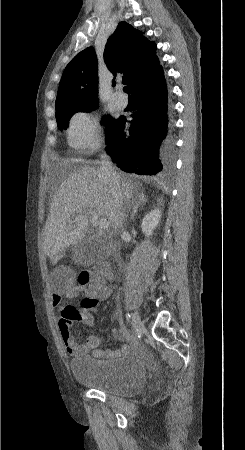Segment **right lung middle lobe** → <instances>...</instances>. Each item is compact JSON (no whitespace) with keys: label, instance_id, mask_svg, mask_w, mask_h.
Masks as SVG:
<instances>
[{"label":"right lung middle lobe","instance_id":"right-lung-middle-lobe-1","mask_svg":"<svg viewBox=\"0 0 245 450\" xmlns=\"http://www.w3.org/2000/svg\"><path fill=\"white\" fill-rule=\"evenodd\" d=\"M98 107V104H92V105H84V104H77V103H66V104H60L56 106V118H57V124L60 129L66 128L67 123L70 119V117L76 113V112H90ZM103 119L108 121L109 125V134H108V143L110 142V137L112 135V132L114 130V127L118 120L113 119L111 116L107 115L104 116Z\"/></svg>","mask_w":245,"mask_h":450}]
</instances>
